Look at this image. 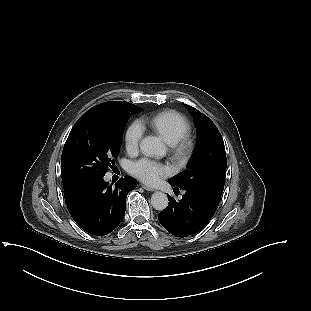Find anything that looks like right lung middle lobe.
<instances>
[{
    "label": "right lung middle lobe",
    "mask_w": 311,
    "mask_h": 311,
    "mask_svg": "<svg viewBox=\"0 0 311 311\" xmlns=\"http://www.w3.org/2000/svg\"><path fill=\"white\" fill-rule=\"evenodd\" d=\"M141 109L108 102L84 113L73 126L64 145L61 174L64 191L104 177L116 168L124 127L131 114Z\"/></svg>",
    "instance_id": "obj_1"
}]
</instances>
